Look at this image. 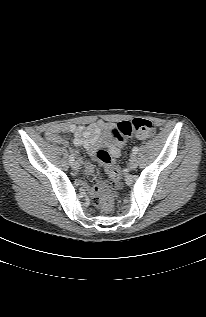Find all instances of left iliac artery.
Returning <instances> with one entry per match:
<instances>
[{
	"label": "left iliac artery",
	"mask_w": 206,
	"mask_h": 317,
	"mask_svg": "<svg viewBox=\"0 0 206 317\" xmlns=\"http://www.w3.org/2000/svg\"><path fill=\"white\" fill-rule=\"evenodd\" d=\"M137 152H138V148H137V147H134V148L132 149V153L135 155V154H137Z\"/></svg>",
	"instance_id": "left-iliac-artery-1"
}]
</instances>
